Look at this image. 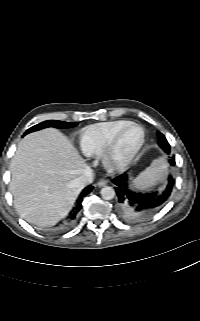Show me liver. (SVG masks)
Instances as JSON below:
<instances>
[{
    "label": "liver",
    "mask_w": 200,
    "mask_h": 321,
    "mask_svg": "<svg viewBox=\"0 0 200 321\" xmlns=\"http://www.w3.org/2000/svg\"><path fill=\"white\" fill-rule=\"evenodd\" d=\"M86 168L85 160L58 130L28 134L11 161L10 190L17 212L37 225L64 218L82 189L75 179Z\"/></svg>",
    "instance_id": "1"
}]
</instances>
